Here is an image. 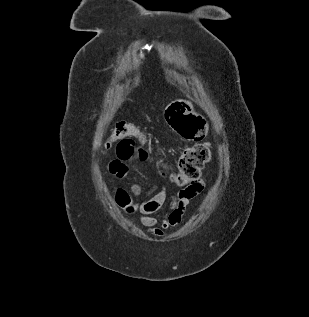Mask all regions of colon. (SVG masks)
<instances>
[{
	"label": "colon",
	"instance_id": "colon-1",
	"mask_svg": "<svg viewBox=\"0 0 309 317\" xmlns=\"http://www.w3.org/2000/svg\"><path fill=\"white\" fill-rule=\"evenodd\" d=\"M165 119L179 135L197 141L182 152L177 171L172 174L177 185L189 186L200 178L204 166L210 160L209 145L202 141L206 134V123L201 116L192 112L191 104L185 100H177L169 104L165 110ZM138 136L141 135L137 126L128 122H118L107 142V148L118 142L117 150H119L126 145V142H130L131 157L143 156L147 154L146 149L138 147L133 140Z\"/></svg>",
	"mask_w": 309,
	"mask_h": 317
}]
</instances>
